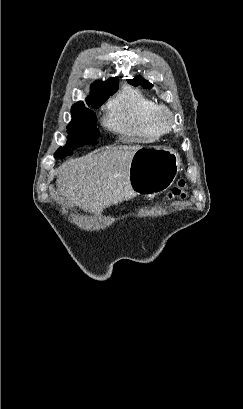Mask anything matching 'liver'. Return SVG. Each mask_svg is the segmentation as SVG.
<instances>
[{
	"mask_svg": "<svg viewBox=\"0 0 243 409\" xmlns=\"http://www.w3.org/2000/svg\"><path fill=\"white\" fill-rule=\"evenodd\" d=\"M137 146L109 147L105 151L70 159L59 168L56 184L71 207L99 214L111 205L130 200L129 167Z\"/></svg>",
	"mask_w": 243,
	"mask_h": 409,
	"instance_id": "liver-1",
	"label": "liver"
}]
</instances>
